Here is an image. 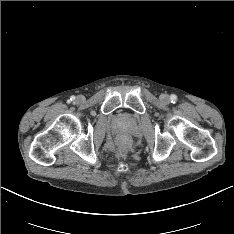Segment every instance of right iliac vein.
I'll return each instance as SVG.
<instances>
[{
  "label": "right iliac vein",
  "mask_w": 234,
  "mask_h": 234,
  "mask_svg": "<svg viewBox=\"0 0 234 234\" xmlns=\"http://www.w3.org/2000/svg\"><path fill=\"white\" fill-rule=\"evenodd\" d=\"M83 100H84L83 96H78L76 99L78 103L82 102Z\"/></svg>",
  "instance_id": "right-iliac-vein-1"
}]
</instances>
